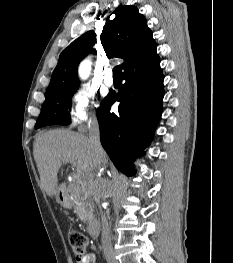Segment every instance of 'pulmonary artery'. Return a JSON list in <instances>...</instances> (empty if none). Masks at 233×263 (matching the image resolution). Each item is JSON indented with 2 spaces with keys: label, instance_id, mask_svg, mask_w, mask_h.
<instances>
[{
  "label": "pulmonary artery",
  "instance_id": "pulmonary-artery-1",
  "mask_svg": "<svg viewBox=\"0 0 233 263\" xmlns=\"http://www.w3.org/2000/svg\"><path fill=\"white\" fill-rule=\"evenodd\" d=\"M104 83L107 86H112L114 83L113 77H112V70L111 69H107L106 73L104 75Z\"/></svg>",
  "mask_w": 233,
  "mask_h": 263
}]
</instances>
